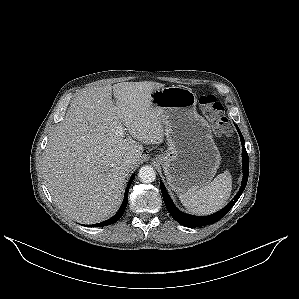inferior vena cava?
Masks as SVG:
<instances>
[{"mask_svg": "<svg viewBox=\"0 0 299 299\" xmlns=\"http://www.w3.org/2000/svg\"><path fill=\"white\" fill-rule=\"evenodd\" d=\"M122 163H123L124 166H129L132 163V157L131 156H126L123 159Z\"/></svg>", "mask_w": 299, "mask_h": 299, "instance_id": "inferior-vena-cava-1", "label": "inferior vena cava"}]
</instances>
